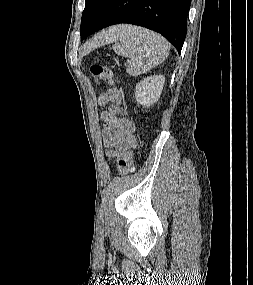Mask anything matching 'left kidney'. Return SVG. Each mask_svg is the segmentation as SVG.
I'll return each instance as SVG.
<instances>
[{
	"mask_svg": "<svg viewBox=\"0 0 253 285\" xmlns=\"http://www.w3.org/2000/svg\"><path fill=\"white\" fill-rule=\"evenodd\" d=\"M164 83L163 75H153L143 79L135 88L136 101L144 107H150L160 98Z\"/></svg>",
	"mask_w": 253,
	"mask_h": 285,
	"instance_id": "obj_1",
	"label": "left kidney"
}]
</instances>
